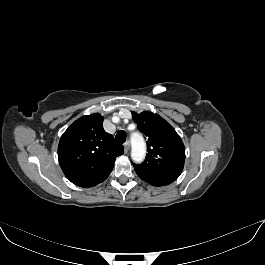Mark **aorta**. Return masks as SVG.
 <instances>
[{
	"label": "aorta",
	"mask_w": 265,
	"mask_h": 265,
	"mask_svg": "<svg viewBox=\"0 0 265 265\" xmlns=\"http://www.w3.org/2000/svg\"><path fill=\"white\" fill-rule=\"evenodd\" d=\"M131 158L136 163H141L146 156V144L139 133L131 135Z\"/></svg>",
	"instance_id": "obj_1"
}]
</instances>
